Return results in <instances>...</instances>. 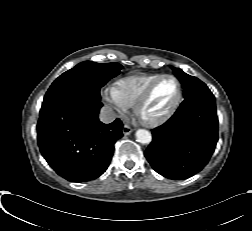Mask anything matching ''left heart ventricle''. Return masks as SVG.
Listing matches in <instances>:
<instances>
[{"mask_svg": "<svg viewBox=\"0 0 252 231\" xmlns=\"http://www.w3.org/2000/svg\"><path fill=\"white\" fill-rule=\"evenodd\" d=\"M177 95V84L171 78H165L156 86L150 99L142 109V116L153 119L164 114Z\"/></svg>", "mask_w": 252, "mask_h": 231, "instance_id": "1", "label": "left heart ventricle"}]
</instances>
